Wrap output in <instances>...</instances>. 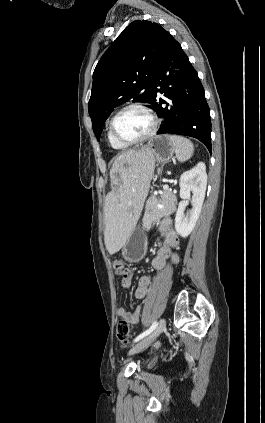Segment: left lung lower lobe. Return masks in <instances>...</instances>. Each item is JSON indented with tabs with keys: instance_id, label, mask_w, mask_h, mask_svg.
<instances>
[{
	"instance_id": "0a47b994",
	"label": "left lung lower lobe",
	"mask_w": 265,
	"mask_h": 423,
	"mask_svg": "<svg viewBox=\"0 0 265 423\" xmlns=\"http://www.w3.org/2000/svg\"><path fill=\"white\" fill-rule=\"evenodd\" d=\"M152 109L164 119L157 134L194 137L211 152L210 110L204 89L181 45L169 33L152 81ZM158 87V89H157ZM157 92L168 100L159 99ZM166 104L169 107H162Z\"/></svg>"
}]
</instances>
